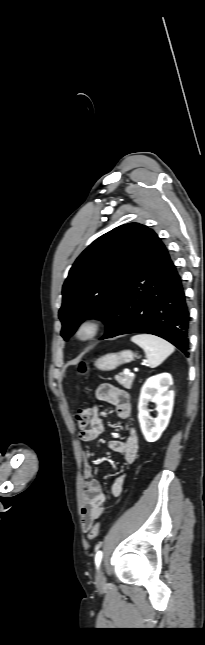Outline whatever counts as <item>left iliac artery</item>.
<instances>
[{
  "mask_svg": "<svg viewBox=\"0 0 205 645\" xmlns=\"http://www.w3.org/2000/svg\"><path fill=\"white\" fill-rule=\"evenodd\" d=\"M102 560V552L98 551L95 555V565L98 568Z\"/></svg>",
  "mask_w": 205,
  "mask_h": 645,
  "instance_id": "obj_1",
  "label": "left iliac artery"
}]
</instances>
